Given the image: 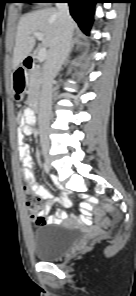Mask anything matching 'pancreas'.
I'll return each mask as SVG.
<instances>
[{
  "label": "pancreas",
  "instance_id": "cf45deb5",
  "mask_svg": "<svg viewBox=\"0 0 136 296\" xmlns=\"http://www.w3.org/2000/svg\"><path fill=\"white\" fill-rule=\"evenodd\" d=\"M42 84V70L39 66L32 68L29 72L28 89L29 101L35 103L39 97Z\"/></svg>",
  "mask_w": 136,
  "mask_h": 296
}]
</instances>
